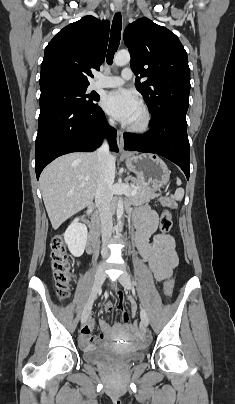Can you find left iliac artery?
<instances>
[{"label":"left iliac artery","instance_id":"1","mask_svg":"<svg viewBox=\"0 0 235 404\" xmlns=\"http://www.w3.org/2000/svg\"><path fill=\"white\" fill-rule=\"evenodd\" d=\"M132 281H133V285H135L136 286V282L134 281V279L132 278Z\"/></svg>","mask_w":235,"mask_h":404}]
</instances>
